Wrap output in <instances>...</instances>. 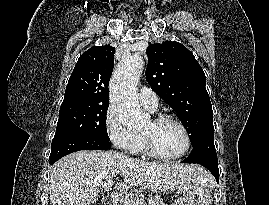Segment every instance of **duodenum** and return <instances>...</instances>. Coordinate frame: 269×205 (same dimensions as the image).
I'll return each mask as SVG.
<instances>
[{"label": "duodenum", "instance_id": "obj_1", "mask_svg": "<svg viewBox=\"0 0 269 205\" xmlns=\"http://www.w3.org/2000/svg\"><path fill=\"white\" fill-rule=\"evenodd\" d=\"M102 205H111V204H109V203H103Z\"/></svg>", "mask_w": 269, "mask_h": 205}]
</instances>
